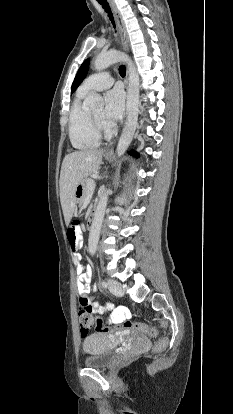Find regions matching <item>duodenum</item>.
I'll return each instance as SVG.
<instances>
[{
  "mask_svg": "<svg viewBox=\"0 0 233 414\" xmlns=\"http://www.w3.org/2000/svg\"><path fill=\"white\" fill-rule=\"evenodd\" d=\"M95 218H96V212L92 211L89 215V218H88V226L89 227H91L93 225V223L95 221Z\"/></svg>",
  "mask_w": 233,
  "mask_h": 414,
  "instance_id": "duodenum-1",
  "label": "duodenum"
}]
</instances>
